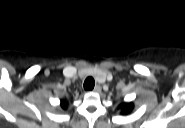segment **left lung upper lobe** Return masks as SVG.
I'll use <instances>...</instances> for the list:
<instances>
[{
    "label": "left lung upper lobe",
    "mask_w": 185,
    "mask_h": 128,
    "mask_svg": "<svg viewBox=\"0 0 185 128\" xmlns=\"http://www.w3.org/2000/svg\"><path fill=\"white\" fill-rule=\"evenodd\" d=\"M131 109L132 105L131 104L127 105L126 108L124 109V113L130 111Z\"/></svg>",
    "instance_id": "left-lung-upper-lobe-1"
}]
</instances>
